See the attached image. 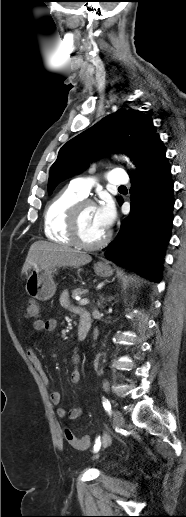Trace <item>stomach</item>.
<instances>
[{
  "label": "stomach",
  "mask_w": 186,
  "mask_h": 517,
  "mask_svg": "<svg viewBox=\"0 0 186 517\" xmlns=\"http://www.w3.org/2000/svg\"><path fill=\"white\" fill-rule=\"evenodd\" d=\"M56 271L55 267L42 270L33 269L27 276L25 286L28 295L41 301L49 300L56 292V284L53 280ZM94 271L100 277H109L113 274L112 268L103 262L95 264Z\"/></svg>",
  "instance_id": "1"
}]
</instances>
